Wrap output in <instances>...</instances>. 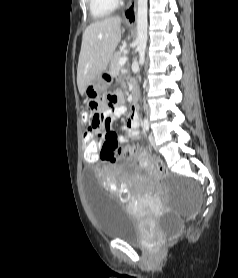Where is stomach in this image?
<instances>
[{
  "label": "stomach",
  "mask_w": 238,
  "mask_h": 278,
  "mask_svg": "<svg viewBox=\"0 0 238 278\" xmlns=\"http://www.w3.org/2000/svg\"><path fill=\"white\" fill-rule=\"evenodd\" d=\"M114 82V74H110V69H101V74H95V78L85 89V97L89 100L103 99L105 90L110 89V86Z\"/></svg>",
  "instance_id": "0dacf381"
}]
</instances>
